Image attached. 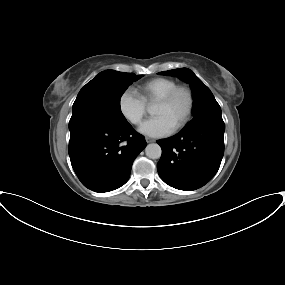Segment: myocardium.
<instances>
[{
    "label": "myocardium",
    "instance_id": "1",
    "mask_svg": "<svg viewBox=\"0 0 285 285\" xmlns=\"http://www.w3.org/2000/svg\"><path fill=\"white\" fill-rule=\"evenodd\" d=\"M179 93H185L188 97V109L183 119L174 127L173 132L183 129L192 119L195 110V95L187 85H177L160 98L156 105H169Z\"/></svg>",
    "mask_w": 285,
    "mask_h": 285
}]
</instances>
